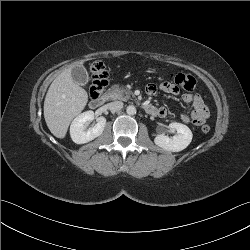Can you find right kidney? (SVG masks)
Returning <instances> with one entry per match:
<instances>
[{"mask_svg": "<svg viewBox=\"0 0 250 250\" xmlns=\"http://www.w3.org/2000/svg\"><path fill=\"white\" fill-rule=\"evenodd\" d=\"M94 119L93 111H86L79 114L71 123L70 136L76 144L88 143L100 136L105 128L106 119L101 116L97 118V123L94 127L85 130V123Z\"/></svg>", "mask_w": 250, "mask_h": 250, "instance_id": "obj_1", "label": "right kidney"}]
</instances>
